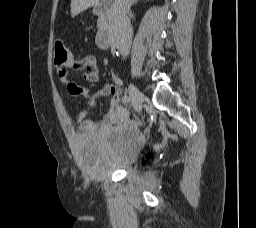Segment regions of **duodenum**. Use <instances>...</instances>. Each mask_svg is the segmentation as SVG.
Returning a JSON list of instances; mask_svg holds the SVG:
<instances>
[{"instance_id": "obj_1", "label": "duodenum", "mask_w": 256, "mask_h": 228, "mask_svg": "<svg viewBox=\"0 0 256 228\" xmlns=\"http://www.w3.org/2000/svg\"><path fill=\"white\" fill-rule=\"evenodd\" d=\"M93 13L99 17L101 25L96 36L99 47L108 49L113 44L112 31L110 27V0L98 2L93 7Z\"/></svg>"}]
</instances>
